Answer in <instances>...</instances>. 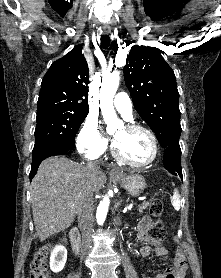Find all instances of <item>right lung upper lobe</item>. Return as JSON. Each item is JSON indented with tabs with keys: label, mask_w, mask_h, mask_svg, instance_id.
<instances>
[{
	"label": "right lung upper lobe",
	"mask_w": 221,
	"mask_h": 278,
	"mask_svg": "<svg viewBox=\"0 0 221 278\" xmlns=\"http://www.w3.org/2000/svg\"><path fill=\"white\" fill-rule=\"evenodd\" d=\"M89 69L79 48L53 62L45 74L38 99V109H68L89 112Z\"/></svg>",
	"instance_id": "right-lung-upper-lobe-1"
}]
</instances>
